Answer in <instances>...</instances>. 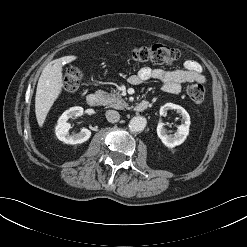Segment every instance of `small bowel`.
Instances as JSON below:
<instances>
[{
  "label": "small bowel",
  "instance_id": "obj_1",
  "mask_svg": "<svg viewBox=\"0 0 247 247\" xmlns=\"http://www.w3.org/2000/svg\"><path fill=\"white\" fill-rule=\"evenodd\" d=\"M149 79L161 81L163 90L171 94L179 93L185 83L204 84L206 82V78L202 74V67L195 60H185L183 68L176 70L143 67L136 74L129 77V82L133 85H138Z\"/></svg>",
  "mask_w": 247,
  "mask_h": 247
}]
</instances>
